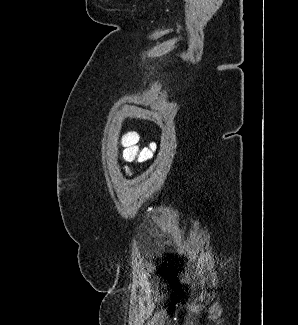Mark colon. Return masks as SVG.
<instances>
[{
  "label": "colon",
  "mask_w": 298,
  "mask_h": 325,
  "mask_svg": "<svg viewBox=\"0 0 298 325\" xmlns=\"http://www.w3.org/2000/svg\"><path fill=\"white\" fill-rule=\"evenodd\" d=\"M123 153L122 159L126 162H133L138 160L140 162L146 161L149 158V152L140 150L138 146V135L130 132L124 135L122 139ZM126 173L130 174L129 168H126Z\"/></svg>",
  "instance_id": "colon-1"
}]
</instances>
